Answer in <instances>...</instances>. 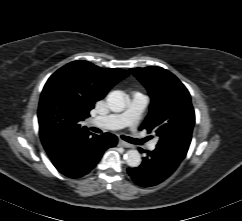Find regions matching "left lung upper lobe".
I'll use <instances>...</instances> for the list:
<instances>
[{
	"mask_svg": "<svg viewBox=\"0 0 242 221\" xmlns=\"http://www.w3.org/2000/svg\"><path fill=\"white\" fill-rule=\"evenodd\" d=\"M131 72L148 89L151 105L140 130L154 131L157 146L185 157L195 123L191 97L186 87L166 69L150 66Z\"/></svg>",
	"mask_w": 242,
	"mask_h": 221,
	"instance_id": "left-lung-upper-lobe-1",
	"label": "left lung upper lobe"
}]
</instances>
